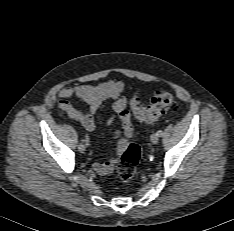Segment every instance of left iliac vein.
<instances>
[{
  "mask_svg": "<svg viewBox=\"0 0 234 231\" xmlns=\"http://www.w3.org/2000/svg\"><path fill=\"white\" fill-rule=\"evenodd\" d=\"M150 140L153 144H157L158 141H159V136L157 135V133H153L151 136H150Z\"/></svg>",
  "mask_w": 234,
  "mask_h": 231,
  "instance_id": "obj_1",
  "label": "left iliac vein"
}]
</instances>
